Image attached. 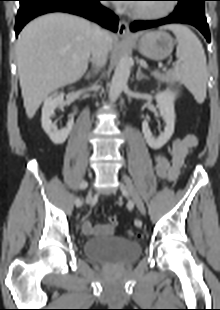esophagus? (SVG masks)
Listing matches in <instances>:
<instances>
[{
  "label": "esophagus",
  "instance_id": "34e87169",
  "mask_svg": "<svg viewBox=\"0 0 220 310\" xmlns=\"http://www.w3.org/2000/svg\"><path fill=\"white\" fill-rule=\"evenodd\" d=\"M118 35L121 37H130L128 23L125 20H120L118 25Z\"/></svg>",
  "mask_w": 220,
  "mask_h": 310
}]
</instances>
